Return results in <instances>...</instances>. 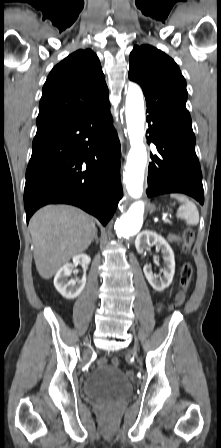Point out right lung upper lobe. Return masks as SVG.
I'll return each instance as SVG.
<instances>
[{
	"instance_id": "cb5924a9",
	"label": "right lung upper lobe",
	"mask_w": 221,
	"mask_h": 448,
	"mask_svg": "<svg viewBox=\"0 0 221 448\" xmlns=\"http://www.w3.org/2000/svg\"><path fill=\"white\" fill-rule=\"evenodd\" d=\"M106 100L108 88L97 55L90 49L77 50L51 70L43 86L37 133Z\"/></svg>"
}]
</instances>
